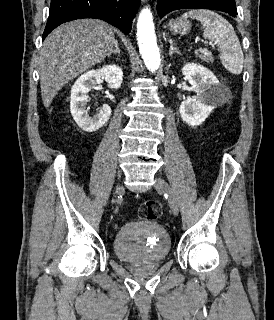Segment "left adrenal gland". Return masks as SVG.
<instances>
[{
	"label": "left adrenal gland",
	"mask_w": 274,
	"mask_h": 320,
	"mask_svg": "<svg viewBox=\"0 0 274 320\" xmlns=\"http://www.w3.org/2000/svg\"><path fill=\"white\" fill-rule=\"evenodd\" d=\"M169 44V56H173V54H180L179 50H177V48H174L172 40H170Z\"/></svg>",
	"instance_id": "a2214340"
}]
</instances>
